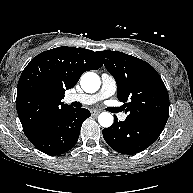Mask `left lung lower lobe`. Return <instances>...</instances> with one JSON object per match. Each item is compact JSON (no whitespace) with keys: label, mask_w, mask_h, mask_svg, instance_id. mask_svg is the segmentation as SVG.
Masks as SVG:
<instances>
[{"label":"left lung lower lobe","mask_w":193,"mask_h":193,"mask_svg":"<svg viewBox=\"0 0 193 193\" xmlns=\"http://www.w3.org/2000/svg\"><path fill=\"white\" fill-rule=\"evenodd\" d=\"M168 117L118 121L103 129L107 144L122 154H136L149 147L161 134Z\"/></svg>","instance_id":"obj_1"}]
</instances>
